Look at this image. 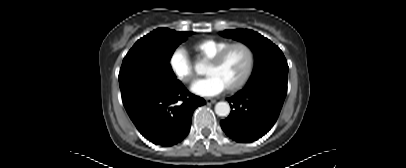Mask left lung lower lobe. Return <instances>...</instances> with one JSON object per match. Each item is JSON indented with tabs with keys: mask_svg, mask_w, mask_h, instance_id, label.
Masks as SVG:
<instances>
[{
	"mask_svg": "<svg viewBox=\"0 0 406 168\" xmlns=\"http://www.w3.org/2000/svg\"><path fill=\"white\" fill-rule=\"evenodd\" d=\"M287 93V84L261 82L246 85L228 99L232 111L220 122L224 132L241 143L264 136L275 124Z\"/></svg>",
	"mask_w": 406,
	"mask_h": 168,
	"instance_id": "left-lung-lower-lobe-1",
	"label": "left lung lower lobe"
}]
</instances>
